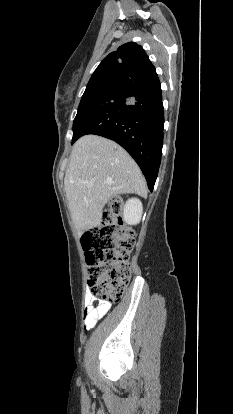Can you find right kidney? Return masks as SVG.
Masks as SVG:
<instances>
[{
	"label": "right kidney",
	"mask_w": 233,
	"mask_h": 414,
	"mask_svg": "<svg viewBox=\"0 0 233 414\" xmlns=\"http://www.w3.org/2000/svg\"><path fill=\"white\" fill-rule=\"evenodd\" d=\"M143 213V206L139 199L131 198L124 205L123 218L129 225H136L140 222Z\"/></svg>",
	"instance_id": "ca27d5eb"
}]
</instances>
